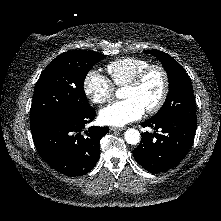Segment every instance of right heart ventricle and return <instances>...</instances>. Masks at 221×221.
<instances>
[{
	"mask_svg": "<svg viewBox=\"0 0 221 221\" xmlns=\"http://www.w3.org/2000/svg\"><path fill=\"white\" fill-rule=\"evenodd\" d=\"M150 65L147 59L140 57H121L110 62L106 66V71L110 75L111 81L118 87L126 84L143 68Z\"/></svg>",
	"mask_w": 221,
	"mask_h": 221,
	"instance_id": "right-heart-ventricle-1",
	"label": "right heart ventricle"
}]
</instances>
